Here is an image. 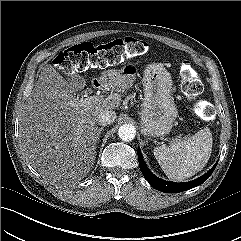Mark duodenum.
<instances>
[{
	"instance_id": "obj_1",
	"label": "duodenum",
	"mask_w": 241,
	"mask_h": 241,
	"mask_svg": "<svg viewBox=\"0 0 241 241\" xmlns=\"http://www.w3.org/2000/svg\"><path fill=\"white\" fill-rule=\"evenodd\" d=\"M102 85H103V81L100 80V79H94V80L92 81V86H93L95 89L101 88Z\"/></svg>"
}]
</instances>
